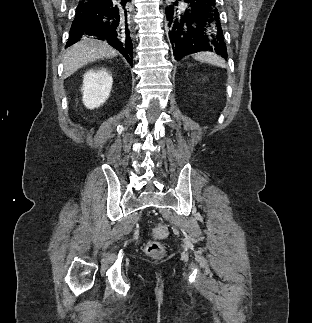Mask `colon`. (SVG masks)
<instances>
[{"label": "colon", "mask_w": 312, "mask_h": 323, "mask_svg": "<svg viewBox=\"0 0 312 323\" xmlns=\"http://www.w3.org/2000/svg\"><path fill=\"white\" fill-rule=\"evenodd\" d=\"M166 234V228L163 225H158L153 229V236L158 237ZM145 252L152 257H160L163 254V248L157 241H148L145 245Z\"/></svg>", "instance_id": "colon-1"}]
</instances>
